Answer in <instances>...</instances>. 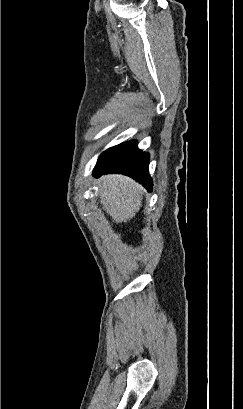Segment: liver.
I'll return each mask as SVG.
<instances>
[{
	"instance_id": "obj_1",
	"label": "liver",
	"mask_w": 243,
	"mask_h": 409,
	"mask_svg": "<svg viewBox=\"0 0 243 409\" xmlns=\"http://www.w3.org/2000/svg\"><path fill=\"white\" fill-rule=\"evenodd\" d=\"M96 183L101 204L116 223L127 222L139 211L143 188L131 178L106 175Z\"/></svg>"
}]
</instances>
